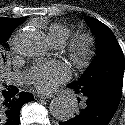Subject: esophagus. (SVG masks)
<instances>
[{"label": "esophagus", "instance_id": "34e87169", "mask_svg": "<svg viewBox=\"0 0 125 125\" xmlns=\"http://www.w3.org/2000/svg\"><path fill=\"white\" fill-rule=\"evenodd\" d=\"M38 97L40 99H51L53 98V95H49V94H38Z\"/></svg>", "mask_w": 125, "mask_h": 125}]
</instances>
